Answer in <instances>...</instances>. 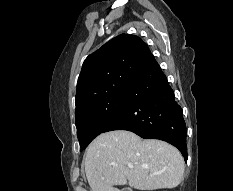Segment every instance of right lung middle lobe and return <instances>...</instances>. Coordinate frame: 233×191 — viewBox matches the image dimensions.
Returning <instances> with one entry per match:
<instances>
[{
    "label": "right lung middle lobe",
    "instance_id": "obj_1",
    "mask_svg": "<svg viewBox=\"0 0 233 191\" xmlns=\"http://www.w3.org/2000/svg\"><path fill=\"white\" fill-rule=\"evenodd\" d=\"M128 101V92L121 93L101 100L75 113V123L81 151L126 108Z\"/></svg>",
    "mask_w": 233,
    "mask_h": 191
}]
</instances>
